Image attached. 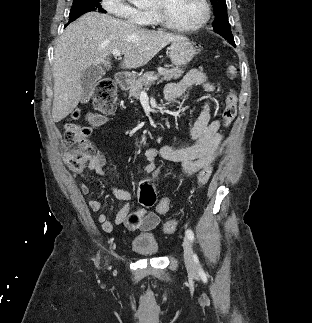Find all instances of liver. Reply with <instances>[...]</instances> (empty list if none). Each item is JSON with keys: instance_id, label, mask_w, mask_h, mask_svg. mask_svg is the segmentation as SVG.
Listing matches in <instances>:
<instances>
[{"instance_id": "6515ba94", "label": "liver", "mask_w": 312, "mask_h": 323, "mask_svg": "<svg viewBox=\"0 0 312 323\" xmlns=\"http://www.w3.org/2000/svg\"><path fill=\"white\" fill-rule=\"evenodd\" d=\"M183 36L151 32L108 14L88 12L72 22L60 36L54 52L53 122L73 112L83 98L81 76L89 66H108L113 50L124 54L123 68L148 64L162 48ZM110 68V66H109Z\"/></svg>"}]
</instances>
